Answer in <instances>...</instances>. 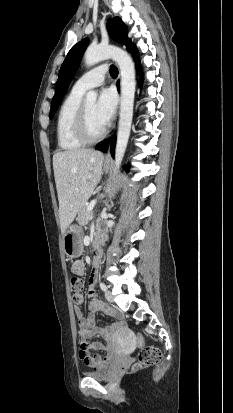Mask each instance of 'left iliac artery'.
Returning a JSON list of instances; mask_svg holds the SVG:
<instances>
[{"instance_id": "44dca946", "label": "left iliac artery", "mask_w": 233, "mask_h": 413, "mask_svg": "<svg viewBox=\"0 0 233 413\" xmlns=\"http://www.w3.org/2000/svg\"><path fill=\"white\" fill-rule=\"evenodd\" d=\"M100 288H101L103 291H106V289H107L106 285H105L104 283H102V282H100Z\"/></svg>"}]
</instances>
